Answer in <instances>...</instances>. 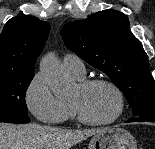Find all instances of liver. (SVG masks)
I'll return each mask as SVG.
<instances>
[{"mask_svg":"<svg viewBox=\"0 0 155 149\" xmlns=\"http://www.w3.org/2000/svg\"><path fill=\"white\" fill-rule=\"evenodd\" d=\"M103 130H66L36 123H0V149H70Z\"/></svg>","mask_w":155,"mask_h":149,"instance_id":"1","label":"liver"}]
</instances>
